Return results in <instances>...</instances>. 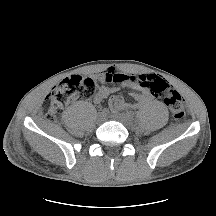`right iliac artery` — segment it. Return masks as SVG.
Masks as SVG:
<instances>
[{"label": "right iliac artery", "mask_w": 216, "mask_h": 216, "mask_svg": "<svg viewBox=\"0 0 216 216\" xmlns=\"http://www.w3.org/2000/svg\"><path fill=\"white\" fill-rule=\"evenodd\" d=\"M101 113L103 115H108L109 114V110L107 108H104V109L101 110Z\"/></svg>", "instance_id": "right-iliac-artery-1"}]
</instances>
